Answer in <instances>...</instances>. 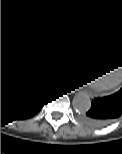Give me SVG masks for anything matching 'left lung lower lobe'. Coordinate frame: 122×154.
Instances as JSON below:
<instances>
[{
    "label": "left lung lower lobe",
    "mask_w": 122,
    "mask_h": 154,
    "mask_svg": "<svg viewBox=\"0 0 122 154\" xmlns=\"http://www.w3.org/2000/svg\"><path fill=\"white\" fill-rule=\"evenodd\" d=\"M122 115V88L106 97L92 100L91 108L82 118L85 125L95 128L107 126Z\"/></svg>",
    "instance_id": "obj_1"
}]
</instances>
